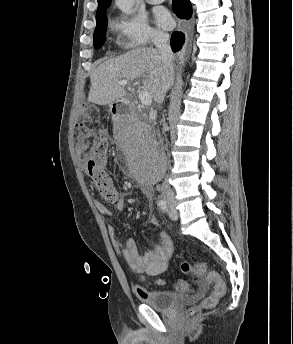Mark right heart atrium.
Wrapping results in <instances>:
<instances>
[{
  "mask_svg": "<svg viewBox=\"0 0 293 344\" xmlns=\"http://www.w3.org/2000/svg\"><path fill=\"white\" fill-rule=\"evenodd\" d=\"M120 46L129 51L144 49L149 44L163 40L165 35L151 27L140 14L119 13L110 22Z\"/></svg>",
  "mask_w": 293,
  "mask_h": 344,
  "instance_id": "d8ad5b80",
  "label": "right heart atrium"
}]
</instances>
